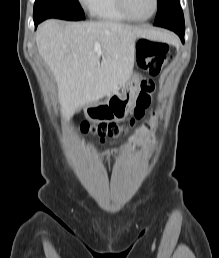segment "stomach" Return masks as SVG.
<instances>
[{
    "mask_svg": "<svg viewBox=\"0 0 219 258\" xmlns=\"http://www.w3.org/2000/svg\"><path fill=\"white\" fill-rule=\"evenodd\" d=\"M139 91L140 77L134 73L120 92H113L103 101L88 104L85 115L97 122L123 120L134 106Z\"/></svg>",
    "mask_w": 219,
    "mask_h": 258,
    "instance_id": "1",
    "label": "stomach"
}]
</instances>
